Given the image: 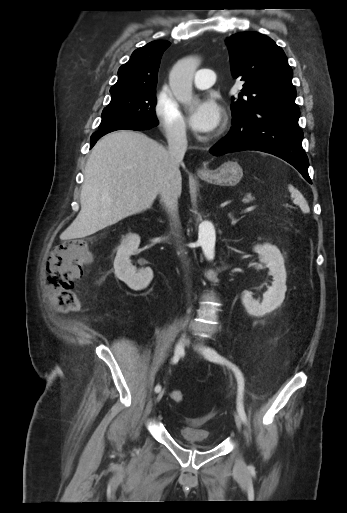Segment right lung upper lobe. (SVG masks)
<instances>
[{"label": "right lung upper lobe", "mask_w": 347, "mask_h": 513, "mask_svg": "<svg viewBox=\"0 0 347 513\" xmlns=\"http://www.w3.org/2000/svg\"><path fill=\"white\" fill-rule=\"evenodd\" d=\"M169 45L166 40H156L135 50L129 61L119 68L118 81L110 92L156 87L160 59Z\"/></svg>", "instance_id": "1"}]
</instances>
